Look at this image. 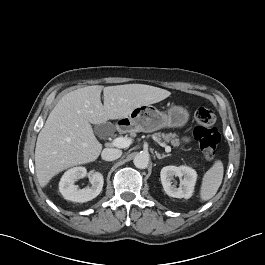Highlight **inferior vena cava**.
Returning a JSON list of instances; mask_svg holds the SVG:
<instances>
[{
	"label": "inferior vena cava",
	"instance_id": "inferior-vena-cava-1",
	"mask_svg": "<svg viewBox=\"0 0 265 265\" xmlns=\"http://www.w3.org/2000/svg\"><path fill=\"white\" fill-rule=\"evenodd\" d=\"M122 151L115 148H105L101 153V157L105 161H113L120 158Z\"/></svg>",
	"mask_w": 265,
	"mask_h": 265
}]
</instances>
